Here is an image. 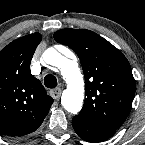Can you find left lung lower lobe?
I'll list each match as a JSON object with an SVG mask.
<instances>
[{"instance_id":"left-lung-lower-lobe-1","label":"left lung lower lobe","mask_w":145,"mask_h":145,"mask_svg":"<svg viewBox=\"0 0 145 145\" xmlns=\"http://www.w3.org/2000/svg\"><path fill=\"white\" fill-rule=\"evenodd\" d=\"M72 125L76 133L85 141L97 143L102 142L114 135L115 132L102 130L91 126L78 117H73Z\"/></svg>"}]
</instances>
